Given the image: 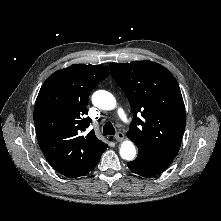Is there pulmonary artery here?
Here are the masks:
<instances>
[{
  "instance_id": "1",
  "label": "pulmonary artery",
  "mask_w": 221,
  "mask_h": 221,
  "mask_svg": "<svg viewBox=\"0 0 221 221\" xmlns=\"http://www.w3.org/2000/svg\"><path fill=\"white\" fill-rule=\"evenodd\" d=\"M118 116L123 120V121H126V114H125V112L123 111V109H121V108H119L118 109Z\"/></svg>"
}]
</instances>
